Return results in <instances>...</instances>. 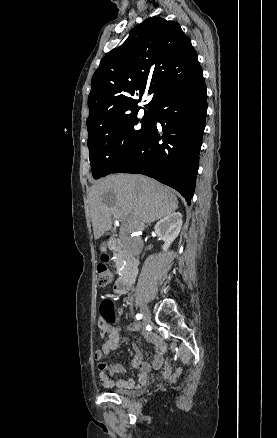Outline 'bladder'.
Returning a JSON list of instances; mask_svg holds the SVG:
<instances>
[{
	"mask_svg": "<svg viewBox=\"0 0 277 438\" xmlns=\"http://www.w3.org/2000/svg\"><path fill=\"white\" fill-rule=\"evenodd\" d=\"M113 393H117V396L119 397H123L124 392L122 390L119 389H114Z\"/></svg>",
	"mask_w": 277,
	"mask_h": 438,
	"instance_id": "bladder-1",
	"label": "bladder"
}]
</instances>
